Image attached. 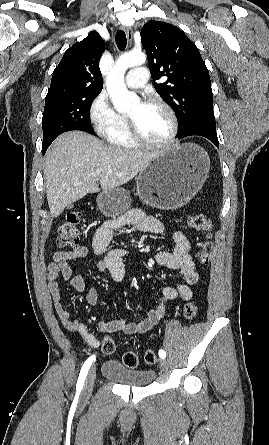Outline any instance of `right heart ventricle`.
<instances>
[{"instance_id":"obj_1","label":"right heart ventricle","mask_w":269,"mask_h":445,"mask_svg":"<svg viewBox=\"0 0 269 445\" xmlns=\"http://www.w3.org/2000/svg\"><path fill=\"white\" fill-rule=\"evenodd\" d=\"M107 141L118 148L134 149L138 144L133 139L129 129L127 117L117 114L115 122L104 132Z\"/></svg>"}]
</instances>
